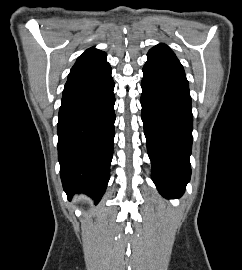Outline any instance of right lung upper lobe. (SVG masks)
<instances>
[{
    "label": "right lung upper lobe",
    "mask_w": 242,
    "mask_h": 270,
    "mask_svg": "<svg viewBox=\"0 0 242 270\" xmlns=\"http://www.w3.org/2000/svg\"><path fill=\"white\" fill-rule=\"evenodd\" d=\"M106 53L95 48L86 50L76 61L71 69L68 79L85 73L106 60Z\"/></svg>",
    "instance_id": "obj_1"
}]
</instances>
